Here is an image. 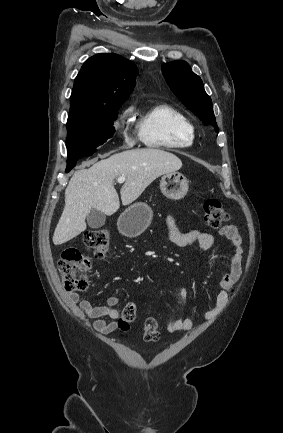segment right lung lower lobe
Returning a JSON list of instances; mask_svg holds the SVG:
<instances>
[{"mask_svg":"<svg viewBox=\"0 0 283 433\" xmlns=\"http://www.w3.org/2000/svg\"><path fill=\"white\" fill-rule=\"evenodd\" d=\"M84 156H89V155H78V156L68 157L67 168L65 172L68 173L72 168H74L76 166L77 160Z\"/></svg>","mask_w":283,"mask_h":433,"instance_id":"right-lung-lower-lobe-1","label":"right lung lower lobe"}]
</instances>
